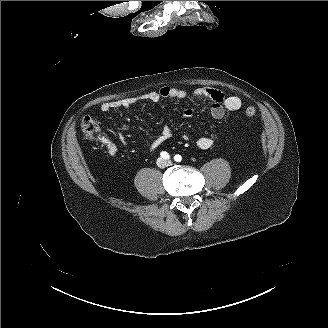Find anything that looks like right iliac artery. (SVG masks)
<instances>
[{
    "mask_svg": "<svg viewBox=\"0 0 328 328\" xmlns=\"http://www.w3.org/2000/svg\"><path fill=\"white\" fill-rule=\"evenodd\" d=\"M161 157L163 158V159H169V154L167 153V152H162L161 153Z\"/></svg>",
    "mask_w": 328,
    "mask_h": 328,
    "instance_id": "1",
    "label": "right iliac artery"
}]
</instances>
